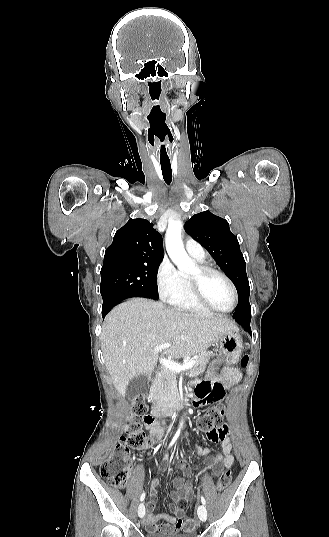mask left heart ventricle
Here are the masks:
<instances>
[{
	"label": "left heart ventricle",
	"mask_w": 329,
	"mask_h": 537,
	"mask_svg": "<svg viewBox=\"0 0 329 537\" xmlns=\"http://www.w3.org/2000/svg\"><path fill=\"white\" fill-rule=\"evenodd\" d=\"M190 277H197L198 270L195 267ZM202 291L208 302L219 310H228L233 303V294L229 285L217 275H208L201 280Z\"/></svg>",
	"instance_id": "1"
}]
</instances>
